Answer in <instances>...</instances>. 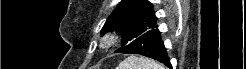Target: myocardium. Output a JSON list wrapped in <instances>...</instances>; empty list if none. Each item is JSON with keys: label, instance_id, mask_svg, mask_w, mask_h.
I'll use <instances>...</instances> for the list:
<instances>
[{"label": "myocardium", "instance_id": "myocardium-1", "mask_svg": "<svg viewBox=\"0 0 246 69\" xmlns=\"http://www.w3.org/2000/svg\"><path fill=\"white\" fill-rule=\"evenodd\" d=\"M108 42H109V43L114 42V38H109V39H108Z\"/></svg>", "mask_w": 246, "mask_h": 69}]
</instances>
